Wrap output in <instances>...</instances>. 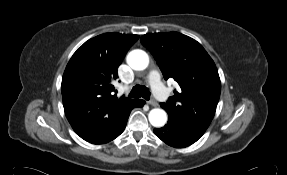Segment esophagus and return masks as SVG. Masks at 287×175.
Returning a JSON list of instances; mask_svg holds the SVG:
<instances>
[{
	"mask_svg": "<svg viewBox=\"0 0 287 175\" xmlns=\"http://www.w3.org/2000/svg\"><path fill=\"white\" fill-rule=\"evenodd\" d=\"M148 104L153 106V107H157L158 106V103L154 99H151L150 101H148Z\"/></svg>",
	"mask_w": 287,
	"mask_h": 175,
	"instance_id": "34e87169",
	"label": "esophagus"
}]
</instances>
